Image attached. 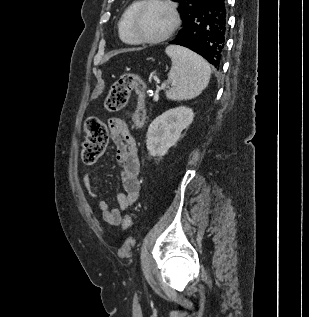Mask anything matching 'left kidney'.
Here are the masks:
<instances>
[{
    "label": "left kidney",
    "instance_id": "1",
    "mask_svg": "<svg viewBox=\"0 0 309 317\" xmlns=\"http://www.w3.org/2000/svg\"><path fill=\"white\" fill-rule=\"evenodd\" d=\"M194 118L192 109L181 106L158 116L149 125L146 145L152 156H164L174 146L181 132L190 126Z\"/></svg>",
    "mask_w": 309,
    "mask_h": 317
}]
</instances>
